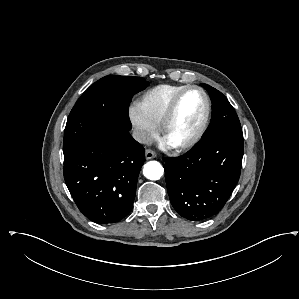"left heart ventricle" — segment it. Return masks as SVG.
Segmentation results:
<instances>
[{
  "label": "left heart ventricle",
  "mask_w": 299,
  "mask_h": 299,
  "mask_svg": "<svg viewBox=\"0 0 299 299\" xmlns=\"http://www.w3.org/2000/svg\"><path fill=\"white\" fill-rule=\"evenodd\" d=\"M204 109V98L200 92L186 93L167 131L166 140L170 143H180L188 139L198 128Z\"/></svg>",
  "instance_id": "1"
}]
</instances>
